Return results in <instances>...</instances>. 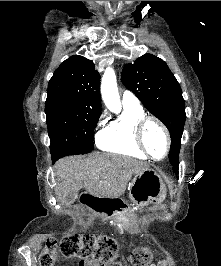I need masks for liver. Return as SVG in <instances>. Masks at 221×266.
I'll list each match as a JSON object with an SVG mask.
<instances>
[{"label":"liver","instance_id":"1","mask_svg":"<svg viewBox=\"0 0 221 266\" xmlns=\"http://www.w3.org/2000/svg\"><path fill=\"white\" fill-rule=\"evenodd\" d=\"M149 165L137 159L106 153H96L89 157L69 156L59 160L54 166L57 183L55 193L58 199L71 191L84 188L93 194H106V198H119L126 190L128 182Z\"/></svg>","mask_w":221,"mask_h":266}]
</instances>
